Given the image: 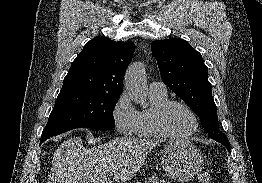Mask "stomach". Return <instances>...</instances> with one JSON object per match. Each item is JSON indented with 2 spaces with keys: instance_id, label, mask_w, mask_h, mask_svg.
<instances>
[{
  "instance_id": "obj_1",
  "label": "stomach",
  "mask_w": 262,
  "mask_h": 183,
  "mask_svg": "<svg viewBox=\"0 0 262 183\" xmlns=\"http://www.w3.org/2000/svg\"><path fill=\"white\" fill-rule=\"evenodd\" d=\"M160 160L166 174L180 182L192 180L201 172L204 165L201 151L184 139L168 141L161 150Z\"/></svg>"
}]
</instances>
